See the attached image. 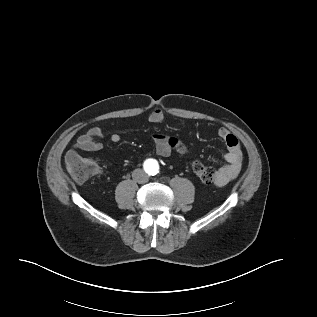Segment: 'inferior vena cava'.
Masks as SVG:
<instances>
[{
  "instance_id": "obj_1",
  "label": "inferior vena cava",
  "mask_w": 317,
  "mask_h": 317,
  "mask_svg": "<svg viewBox=\"0 0 317 317\" xmlns=\"http://www.w3.org/2000/svg\"><path fill=\"white\" fill-rule=\"evenodd\" d=\"M132 178L139 184L147 183L149 180L148 175L142 169H135L132 172Z\"/></svg>"
}]
</instances>
